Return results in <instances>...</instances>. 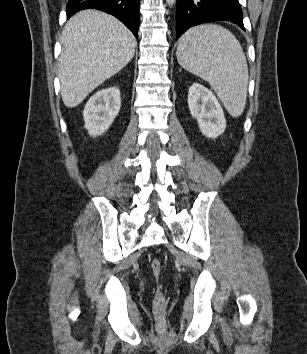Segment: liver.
<instances>
[{
  "mask_svg": "<svg viewBox=\"0 0 307 354\" xmlns=\"http://www.w3.org/2000/svg\"><path fill=\"white\" fill-rule=\"evenodd\" d=\"M61 44L60 92L65 106L73 108L131 61L136 39L115 17L83 10L67 21Z\"/></svg>",
  "mask_w": 307,
  "mask_h": 354,
  "instance_id": "obj_1",
  "label": "liver"
}]
</instances>
